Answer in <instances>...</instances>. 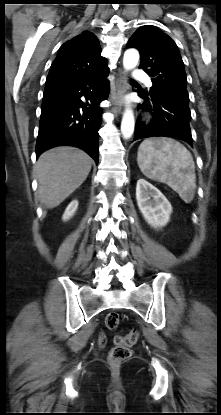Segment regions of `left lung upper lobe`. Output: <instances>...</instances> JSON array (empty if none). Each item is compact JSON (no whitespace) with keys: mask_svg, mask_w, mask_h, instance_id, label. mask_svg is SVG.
<instances>
[{"mask_svg":"<svg viewBox=\"0 0 221 415\" xmlns=\"http://www.w3.org/2000/svg\"><path fill=\"white\" fill-rule=\"evenodd\" d=\"M140 52V66L152 78L149 94H174L189 98L187 79L179 49L164 32L152 25L136 30L127 43Z\"/></svg>","mask_w":221,"mask_h":415,"instance_id":"5c2ea615","label":"left lung upper lobe"}]
</instances>
